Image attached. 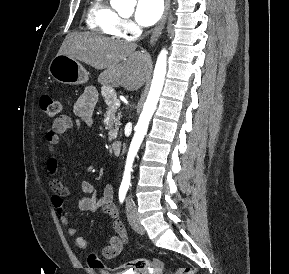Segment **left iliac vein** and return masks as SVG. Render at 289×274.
<instances>
[{"instance_id":"1","label":"left iliac vein","mask_w":289,"mask_h":274,"mask_svg":"<svg viewBox=\"0 0 289 274\" xmlns=\"http://www.w3.org/2000/svg\"><path fill=\"white\" fill-rule=\"evenodd\" d=\"M126 213H127V218H128V221H129L131 227L137 233L144 234L145 230H144L143 226L140 224L136 210L134 209V207L132 206V204L129 201H127V204H126Z\"/></svg>"}]
</instances>
